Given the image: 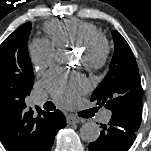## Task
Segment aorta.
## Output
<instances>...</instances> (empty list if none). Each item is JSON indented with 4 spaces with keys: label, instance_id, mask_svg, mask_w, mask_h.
Wrapping results in <instances>:
<instances>
[{
    "label": "aorta",
    "instance_id": "aorta-1",
    "mask_svg": "<svg viewBox=\"0 0 151 151\" xmlns=\"http://www.w3.org/2000/svg\"><path fill=\"white\" fill-rule=\"evenodd\" d=\"M100 136V127L95 122H86L80 128V137L83 141L91 143Z\"/></svg>",
    "mask_w": 151,
    "mask_h": 151
}]
</instances>
